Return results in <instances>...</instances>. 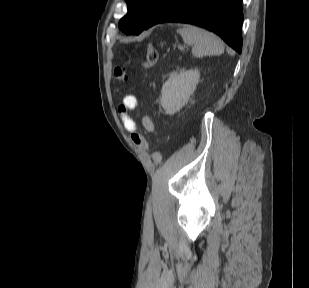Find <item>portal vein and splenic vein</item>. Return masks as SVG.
Segmentation results:
<instances>
[{
  "label": "portal vein and splenic vein",
  "mask_w": 309,
  "mask_h": 288,
  "mask_svg": "<svg viewBox=\"0 0 309 288\" xmlns=\"http://www.w3.org/2000/svg\"><path fill=\"white\" fill-rule=\"evenodd\" d=\"M178 49H179V50H183L184 48H183V47H179Z\"/></svg>",
  "instance_id": "18ae733b"
}]
</instances>
